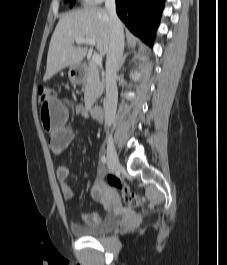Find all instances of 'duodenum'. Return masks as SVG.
<instances>
[{
    "instance_id": "410a0bca",
    "label": "duodenum",
    "mask_w": 227,
    "mask_h": 265,
    "mask_svg": "<svg viewBox=\"0 0 227 265\" xmlns=\"http://www.w3.org/2000/svg\"><path fill=\"white\" fill-rule=\"evenodd\" d=\"M91 116L93 117L94 120L96 121H102L105 116L104 109L101 105L95 104L91 107L90 109Z\"/></svg>"
}]
</instances>
